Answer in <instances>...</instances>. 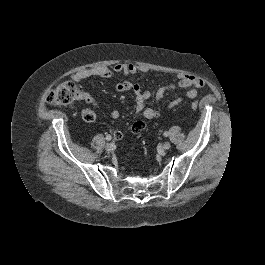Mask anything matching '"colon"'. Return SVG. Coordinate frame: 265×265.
<instances>
[{"label": "colon", "mask_w": 265, "mask_h": 265, "mask_svg": "<svg viewBox=\"0 0 265 265\" xmlns=\"http://www.w3.org/2000/svg\"><path fill=\"white\" fill-rule=\"evenodd\" d=\"M80 99H82V92L73 82L62 83L50 90L46 95V101L54 106H66ZM197 107V102L191 103L193 110L197 109ZM82 116L86 121H93L95 119V113L90 108L84 109Z\"/></svg>", "instance_id": "colon-1"}]
</instances>
